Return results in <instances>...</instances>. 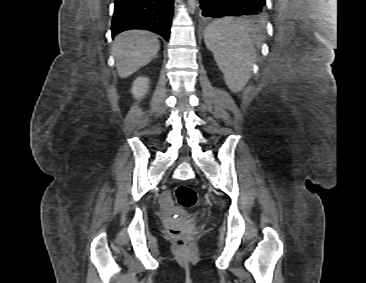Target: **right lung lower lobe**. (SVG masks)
I'll list each match as a JSON object with an SVG mask.
<instances>
[{"label": "right lung lower lobe", "mask_w": 366, "mask_h": 283, "mask_svg": "<svg viewBox=\"0 0 366 283\" xmlns=\"http://www.w3.org/2000/svg\"><path fill=\"white\" fill-rule=\"evenodd\" d=\"M174 0H115L112 38L131 29L153 31L169 38Z\"/></svg>", "instance_id": "98d812e1"}]
</instances>
